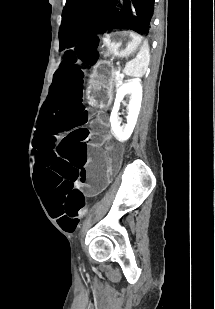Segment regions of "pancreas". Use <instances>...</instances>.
Segmentation results:
<instances>
[{
    "label": "pancreas",
    "mask_w": 215,
    "mask_h": 309,
    "mask_svg": "<svg viewBox=\"0 0 215 309\" xmlns=\"http://www.w3.org/2000/svg\"><path fill=\"white\" fill-rule=\"evenodd\" d=\"M120 80L121 78H114V84H116V86H119V84H121Z\"/></svg>",
    "instance_id": "pancreas-1"
}]
</instances>
